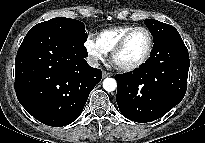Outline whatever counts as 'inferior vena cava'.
I'll return each mask as SVG.
<instances>
[{"instance_id":"inferior-vena-cava-1","label":"inferior vena cava","mask_w":205,"mask_h":143,"mask_svg":"<svg viewBox=\"0 0 205 143\" xmlns=\"http://www.w3.org/2000/svg\"><path fill=\"white\" fill-rule=\"evenodd\" d=\"M86 61H87L88 65L91 66V67L98 68V66H99L97 57L88 56L86 58Z\"/></svg>"}]
</instances>
